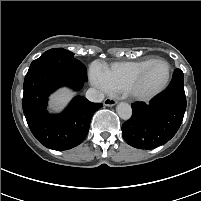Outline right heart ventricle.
<instances>
[{
  "mask_svg": "<svg viewBox=\"0 0 201 201\" xmlns=\"http://www.w3.org/2000/svg\"><path fill=\"white\" fill-rule=\"evenodd\" d=\"M152 60L153 58H146L138 61L117 62L104 67L103 70L112 92L124 91L134 76Z\"/></svg>",
  "mask_w": 201,
  "mask_h": 201,
  "instance_id": "e07e8e85",
  "label": "right heart ventricle"
}]
</instances>
